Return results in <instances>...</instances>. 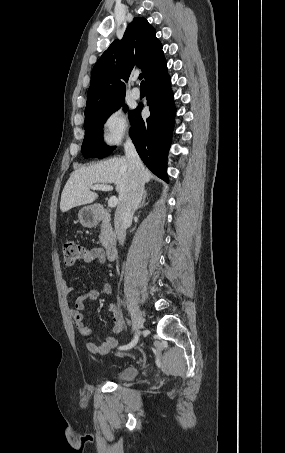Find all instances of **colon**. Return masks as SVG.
Masks as SVG:
<instances>
[{
    "label": "colon",
    "instance_id": "colon-1",
    "mask_svg": "<svg viewBox=\"0 0 285 453\" xmlns=\"http://www.w3.org/2000/svg\"><path fill=\"white\" fill-rule=\"evenodd\" d=\"M64 260L67 264H73L81 258L83 249L73 240H66L62 246Z\"/></svg>",
    "mask_w": 285,
    "mask_h": 453
}]
</instances>
